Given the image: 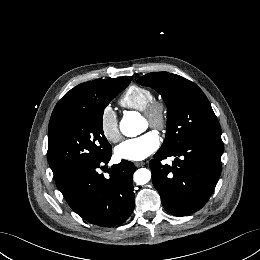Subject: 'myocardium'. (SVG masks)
I'll list each match as a JSON object with an SVG mask.
<instances>
[{
  "instance_id": "1",
  "label": "myocardium",
  "mask_w": 260,
  "mask_h": 260,
  "mask_svg": "<svg viewBox=\"0 0 260 260\" xmlns=\"http://www.w3.org/2000/svg\"><path fill=\"white\" fill-rule=\"evenodd\" d=\"M142 112L152 128L160 132L167 128L168 108L163 100L152 99Z\"/></svg>"
}]
</instances>
